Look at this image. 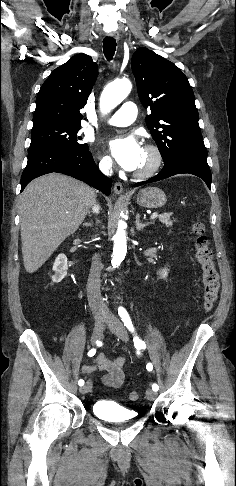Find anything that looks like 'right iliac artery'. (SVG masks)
<instances>
[{"label":"right iliac artery","mask_w":236,"mask_h":486,"mask_svg":"<svg viewBox=\"0 0 236 486\" xmlns=\"http://www.w3.org/2000/svg\"><path fill=\"white\" fill-rule=\"evenodd\" d=\"M96 343H97V342H96ZM95 353H96V349H95V348H93V349H91V350L88 352V356H89V357H92V356H94V355H95ZM78 384H79V386H83V385H84V380L80 379V380L78 381Z\"/></svg>","instance_id":"obj_1"}]
</instances>
